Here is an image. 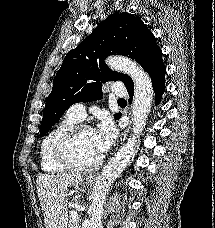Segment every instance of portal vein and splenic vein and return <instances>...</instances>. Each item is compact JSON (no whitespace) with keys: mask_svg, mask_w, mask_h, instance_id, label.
<instances>
[{"mask_svg":"<svg viewBox=\"0 0 215 228\" xmlns=\"http://www.w3.org/2000/svg\"><path fill=\"white\" fill-rule=\"evenodd\" d=\"M71 218H72V220H79V216H78L77 212H75V210H73V212H71Z\"/></svg>","mask_w":215,"mask_h":228,"instance_id":"portal-vein-and-splenic-vein-1","label":"portal vein and splenic vein"}]
</instances>
